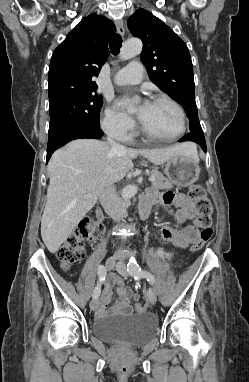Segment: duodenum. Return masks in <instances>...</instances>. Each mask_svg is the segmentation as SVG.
<instances>
[{
    "instance_id": "1",
    "label": "duodenum",
    "mask_w": 249,
    "mask_h": 382,
    "mask_svg": "<svg viewBox=\"0 0 249 382\" xmlns=\"http://www.w3.org/2000/svg\"><path fill=\"white\" fill-rule=\"evenodd\" d=\"M150 202L148 200H143L139 204V214L141 219L145 220L148 217L149 209H150ZM99 216H101V213H99Z\"/></svg>"
}]
</instances>
